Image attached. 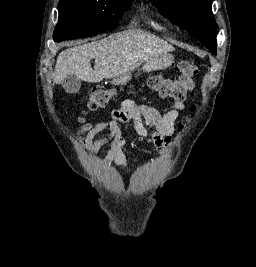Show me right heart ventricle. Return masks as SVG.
Wrapping results in <instances>:
<instances>
[{
  "label": "right heart ventricle",
  "instance_id": "e07e8e85",
  "mask_svg": "<svg viewBox=\"0 0 256 267\" xmlns=\"http://www.w3.org/2000/svg\"><path fill=\"white\" fill-rule=\"evenodd\" d=\"M157 29H158L159 31H163V30H164V28H163V27H160V26H157Z\"/></svg>",
  "mask_w": 256,
  "mask_h": 267
}]
</instances>
